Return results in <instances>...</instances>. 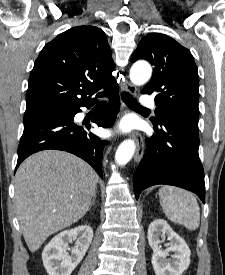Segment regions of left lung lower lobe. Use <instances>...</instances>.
Here are the masks:
<instances>
[{
  "label": "left lung lower lobe",
  "mask_w": 225,
  "mask_h": 275,
  "mask_svg": "<svg viewBox=\"0 0 225 275\" xmlns=\"http://www.w3.org/2000/svg\"><path fill=\"white\" fill-rule=\"evenodd\" d=\"M154 131L133 178L136 199L145 188L166 184L192 191L205 203L198 127L167 118Z\"/></svg>",
  "instance_id": "0a47b994"
}]
</instances>
